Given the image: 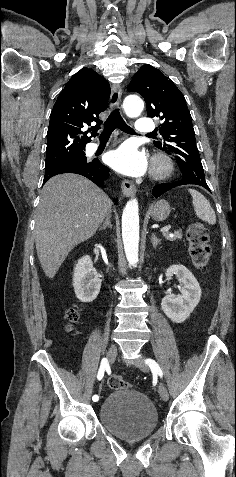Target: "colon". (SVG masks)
I'll return each instance as SVG.
<instances>
[{
  "instance_id": "5ec220e1",
  "label": "colon",
  "mask_w": 236,
  "mask_h": 477,
  "mask_svg": "<svg viewBox=\"0 0 236 477\" xmlns=\"http://www.w3.org/2000/svg\"><path fill=\"white\" fill-rule=\"evenodd\" d=\"M187 240L189 243V255L193 264L197 268H205L209 262L211 248L209 245L208 228L202 223L191 225L187 231ZM68 324H73L79 319V312L76 307H70L65 312ZM108 385L112 389L129 388L130 384L118 375H112L108 378Z\"/></svg>"
}]
</instances>
